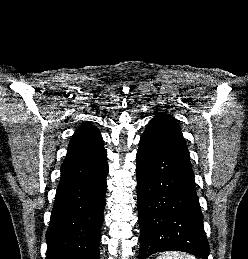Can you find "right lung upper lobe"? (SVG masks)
I'll list each match as a JSON object with an SVG mask.
<instances>
[{"mask_svg":"<svg viewBox=\"0 0 248 259\" xmlns=\"http://www.w3.org/2000/svg\"><path fill=\"white\" fill-rule=\"evenodd\" d=\"M103 152H105L103 139L97 127L84 124L74 133L63 164L86 161L99 156Z\"/></svg>","mask_w":248,"mask_h":259,"instance_id":"obj_1","label":"right lung upper lobe"}]
</instances>
